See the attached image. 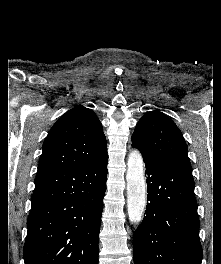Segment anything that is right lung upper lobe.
<instances>
[{
    "label": "right lung upper lobe",
    "instance_id": "right-lung-upper-lobe-1",
    "mask_svg": "<svg viewBox=\"0 0 221 264\" xmlns=\"http://www.w3.org/2000/svg\"><path fill=\"white\" fill-rule=\"evenodd\" d=\"M42 148L37 174L93 164L108 156L101 122L82 105L53 125Z\"/></svg>",
    "mask_w": 221,
    "mask_h": 264
}]
</instances>
